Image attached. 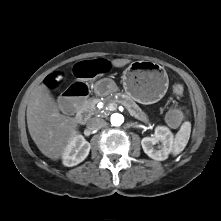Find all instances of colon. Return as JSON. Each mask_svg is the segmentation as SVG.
<instances>
[{
    "label": "colon",
    "mask_w": 221,
    "mask_h": 221,
    "mask_svg": "<svg viewBox=\"0 0 221 221\" xmlns=\"http://www.w3.org/2000/svg\"><path fill=\"white\" fill-rule=\"evenodd\" d=\"M109 64L107 61H84L77 60L72 65V72L77 78L58 99L59 108L67 115L76 114L79 109H83L88 104V96L94 90V82L100 78ZM46 84L53 88L58 84L57 76L51 75L47 78ZM175 95L181 96L184 93L183 85L176 83L172 87ZM184 110L173 109L167 115V121L171 126H179L184 120Z\"/></svg>",
    "instance_id": "obj_1"
}]
</instances>
